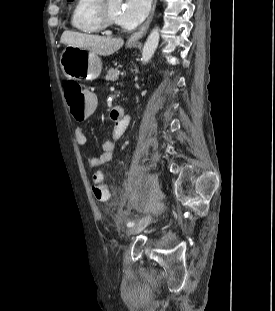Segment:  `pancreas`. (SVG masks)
Wrapping results in <instances>:
<instances>
[{
    "instance_id": "obj_1",
    "label": "pancreas",
    "mask_w": 275,
    "mask_h": 311,
    "mask_svg": "<svg viewBox=\"0 0 275 311\" xmlns=\"http://www.w3.org/2000/svg\"><path fill=\"white\" fill-rule=\"evenodd\" d=\"M119 70L117 68H111L108 70L105 79L107 81H116L118 79Z\"/></svg>"
}]
</instances>
